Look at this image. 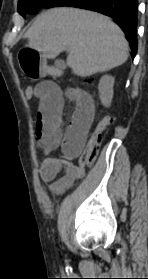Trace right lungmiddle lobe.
<instances>
[{
    "instance_id": "right-lung-middle-lobe-1",
    "label": "right lung middle lobe",
    "mask_w": 148,
    "mask_h": 279,
    "mask_svg": "<svg viewBox=\"0 0 148 279\" xmlns=\"http://www.w3.org/2000/svg\"><path fill=\"white\" fill-rule=\"evenodd\" d=\"M51 0H20L18 3V12L25 17L26 14H34L45 7Z\"/></svg>"
}]
</instances>
